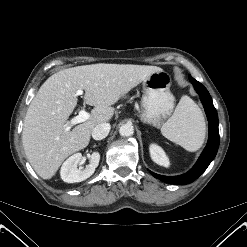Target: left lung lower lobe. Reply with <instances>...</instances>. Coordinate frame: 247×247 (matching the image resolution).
Listing matches in <instances>:
<instances>
[{
  "label": "left lung lower lobe",
  "mask_w": 247,
  "mask_h": 247,
  "mask_svg": "<svg viewBox=\"0 0 247 247\" xmlns=\"http://www.w3.org/2000/svg\"><path fill=\"white\" fill-rule=\"evenodd\" d=\"M191 83L200 96V100L205 108V112L209 122V139L208 143L200 155L197 163L187 173L179 176H163L151 172V174L166 183L184 185L196 180L212 162L219 147V130H218V115L213 105L212 98L207 89L197 80L189 76Z\"/></svg>",
  "instance_id": "0a47b994"
}]
</instances>
